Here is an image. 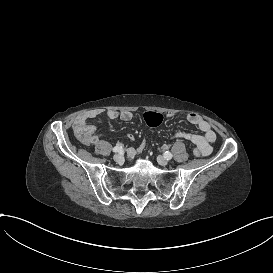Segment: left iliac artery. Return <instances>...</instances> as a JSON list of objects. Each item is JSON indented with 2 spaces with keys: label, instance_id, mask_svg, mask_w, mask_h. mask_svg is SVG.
Here are the masks:
<instances>
[{
  "label": "left iliac artery",
  "instance_id": "44dca946",
  "mask_svg": "<svg viewBox=\"0 0 273 273\" xmlns=\"http://www.w3.org/2000/svg\"><path fill=\"white\" fill-rule=\"evenodd\" d=\"M172 154L170 153V152H165V158L167 159V160H170L171 158H172Z\"/></svg>",
  "mask_w": 273,
  "mask_h": 273
}]
</instances>
